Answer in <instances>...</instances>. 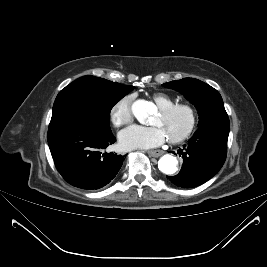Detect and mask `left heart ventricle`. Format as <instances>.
Wrapping results in <instances>:
<instances>
[{
    "label": "left heart ventricle",
    "mask_w": 267,
    "mask_h": 267,
    "mask_svg": "<svg viewBox=\"0 0 267 267\" xmlns=\"http://www.w3.org/2000/svg\"><path fill=\"white\" fill-rule=\"evenodd\" d=\"M188 123L189 115L183 109L176 110L167 116L159 112L152 121L154 126H159L164 130L167 138L180 135L187 128Z\"/></svg>",
    "instance_id": "left-heart-ventricle-1"
}]
</instances>
